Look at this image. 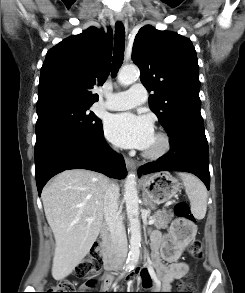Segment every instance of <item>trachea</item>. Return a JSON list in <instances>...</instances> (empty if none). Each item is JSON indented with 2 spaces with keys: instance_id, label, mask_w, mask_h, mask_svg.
<instances>
[{
  "instance_id": "obj_1",
  "label": "trachea",
  "mask_w": 245,
  "mask_h": 293,
  "mask_svg": "<svg viewBox=\"0 0 245 293\" xmlns=\"http://www.w3.org/2000/svg\"><path fill=\"white\" fill-rule=\"evenodd\" d=\"M125 48V30L121 22H117L115 26V41L112 60V73L115 76L124 60Z\"/></svg>"
}]
</instances>
